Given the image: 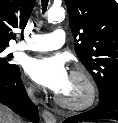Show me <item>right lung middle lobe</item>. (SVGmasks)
I'll return each mask as SVG.
<instances>
[{
  "label": "right lung middle lobe",
  "instance_id": "dd1d6c3e",
  "mask_svg": "<svg viewBox=\"0 0 118 123\" xmlns=\"http://www.w3.org/2000/svg\"><path fill=\"white\" fill-rule=\"evenodd\" d=\"M5 49L6 48H0V77H11L19 72V67L9 63L12 55L9 54L6 57L3 53Z\"/></svg>",
  "mask_w": 118,
  "mask_h": 123
}]
</instances>
